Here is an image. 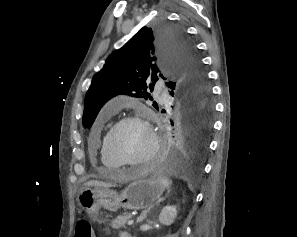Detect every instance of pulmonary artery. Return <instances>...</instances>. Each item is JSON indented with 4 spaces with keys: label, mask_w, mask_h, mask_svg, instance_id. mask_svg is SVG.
I'll return each mask as SVG.
<instances>
[{
    "label": "pulmonary artery",
    "mask_w": 297,
    "mask_h": 237,
    "mask_svg": "<svg viewBox=\"0 0 297 237\" xmlns=\"http://www.w3.org/2000/svg\"><path fill=\"white\" fill-rule=\"evenodd\" d=\"M157 91L160 93L162 91V85H158ZM124 103V100L122 98H115L108 102L106 109L108 111H116L118 110L121 105Z\"/></svg>",
    "instance_id": "1"
}]
</instances>
